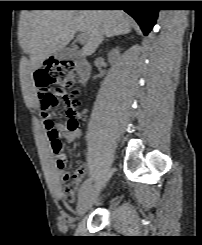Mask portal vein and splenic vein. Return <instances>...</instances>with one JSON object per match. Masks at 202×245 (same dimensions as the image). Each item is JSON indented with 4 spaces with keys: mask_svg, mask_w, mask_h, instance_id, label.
Here are the masks:
<instances>
[{
    "mask_svg": "<svg viewBox=\"0 0 202 245\" xmlns=\"http://www.w3.org/2000/svg\"><path fill=\"white\" fill-rule=\"evenodd\" d=\"M78 41L80 43H85V40H86V36H85V33L81 32L78 37H77Z\"/></svg>",
    "mask_w": 202,
    "mask_h": 245,
    "instance_id": "1",
    "label": "portal vein and splenic vein"
}]
</instances>
